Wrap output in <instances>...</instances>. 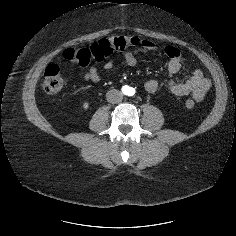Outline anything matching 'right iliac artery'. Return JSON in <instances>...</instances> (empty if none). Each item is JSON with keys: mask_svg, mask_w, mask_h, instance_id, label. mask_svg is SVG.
Masks as SVG:
<instances>
[{"mask_svg": "<svg viewBox=\"0 0 236 236\" xmlns=\"http://www.w3.org/2000/svg\"><path fill=\"white\" fill-rule=\"evenodd\" d=\"M124 90H127L128 88L126 86L123 87Z\"/></svg>", "mask_w": 236, "mask_h": 236, "instance_id": "obj_1", "label": "right iliac artery"}]
</instances>
